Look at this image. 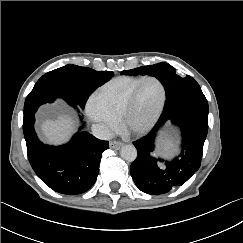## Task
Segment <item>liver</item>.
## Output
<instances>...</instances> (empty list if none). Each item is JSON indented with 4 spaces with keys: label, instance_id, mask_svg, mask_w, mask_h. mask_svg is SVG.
Masks as SVG:
<instances>
[{
    "label": "liver",
    "instance_id": "6515ba94",
    "mask_svg": "<svg viewBox=\"0 0 243 243\" xmlns=\"http://www.w3.org/2000/svg\"><path fill=\"white\" fill-rule=\"evenodd\" d=\"M43 140L49 144L66 142L76 130L74 117L66 113H58L54 119H46L41 123Z\"/></svg>",
    "mask_w": 243,
    "mask_h": 243
}]
</instances>
